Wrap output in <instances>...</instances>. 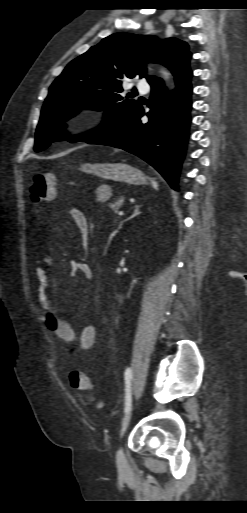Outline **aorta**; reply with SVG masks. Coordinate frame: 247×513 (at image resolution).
Returning a JSON list of instances; mask_svg holds the SVG:
<instances>
[{
	"mask_svg": "<svg viewBox=\"0 0 247 513\" xmlns=\"http://www.w3.org/2000/svg\"><path fill=\"white\" fill-rule=\"evenodd\" d=\"M161 73H162V78L165 80V81H168L169 78H170V73L167 72L166 70H161Z\"/></svg>",
	"mask_w": 247,
	"mask_h": 513,
	"instance_id": "762f6f07",
	"label": "aorta"
}]
</instances>
